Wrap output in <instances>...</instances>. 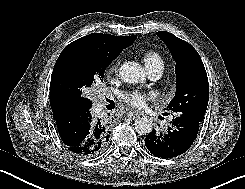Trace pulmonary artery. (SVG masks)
<instances>
[{
  "instance_id": "1",
  "label": "pulmonary artery",
  "mask_w": 245,
  "mask_h": 189,
  "mask_svg": "<svg viewBox=\"0 0 245 189\" xmlns=\"http://www.w3.org/2000/svg\"><path fill=\"white\" fill-rule=\"evenodd\" d=\"M147 72H148L150 78L156 79V78L160 77V75L162 74L163 68H160V67L148 68Z\"/></svg>"
}]
</instances>
